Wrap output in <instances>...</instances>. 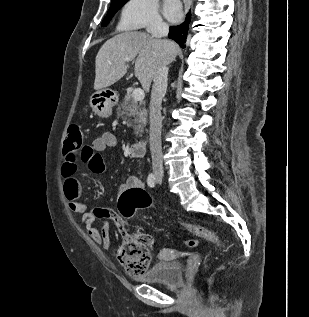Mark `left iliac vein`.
<instances>
[{
    "instance_id": "left-iliac-vein-1",
    "label": "left iliac vein",
    "mask_w": 309,
    "mask_h": 317,
    "mask_svg": "<svg viewBox=\"0 0 309 317\" xmlns=\"http://www.w3.org/2000/svg\"><path fill=\"white\" fill-rule=\"evenodd\" d=\"M158 183H161V180L160 179H157Z\"/></svg>"
}]
</instances>
